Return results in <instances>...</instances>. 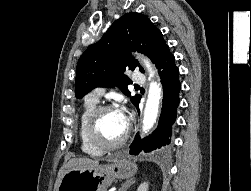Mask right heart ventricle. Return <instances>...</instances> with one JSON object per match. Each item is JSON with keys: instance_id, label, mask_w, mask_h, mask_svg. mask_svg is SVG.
<instances>
[{"instance_id": "e07e8e85", "label": "right heart ventricle", "mask_w": 251, "mask_h": 191, "mask_svg": "<svg viewBox=\"0 0 251 191\" xmlns=\"http://www.w3.org/2000/svg\"><path fill=\"white\" fill-rule=\"evenodd\" d=\"M98 106V99H85L81 112L78 116L77 129H76V141L78 149L81 154L91 158H98L104 154V151L93 147L86 138V124L87 121Z\"/></svg>"}]
</instances>
